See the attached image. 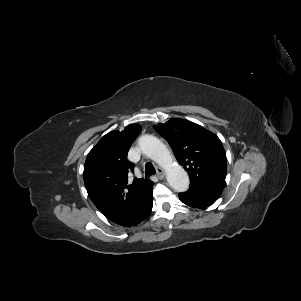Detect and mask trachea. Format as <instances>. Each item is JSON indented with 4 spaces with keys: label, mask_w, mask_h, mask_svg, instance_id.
Masks as SVG:
<instances>
[{
    "label": "trachea",
    "mask_w": 301,
    "mask_h": 301,
    "mask_svg": "<svg viewBox=\"0 0 301 301\" xmlns=\"http://www.w3.org/2000/svg\"><path fill=\"white\" fill-rule=\"evenodd\" d=\"M155 173H156V170H155L154 166L151 163H147L145 165V175H146V177H149V176H151Z\"/></svg>",
    "instance_id": "trachea-1"
}]
</instances>
